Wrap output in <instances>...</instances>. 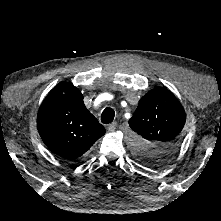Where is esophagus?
Returning a JSON list of instances; mask_svg holds the SVG:
<instances>
[{
    "label": "esophagus",
    "instance_id": "obj_1",
    "mask_svg": "<svg viewBox=\"0 0 221 221\" xmlns=\"http://www.w3.org/2000/svg\"><path fill=\"white\" fill-rule=\"evenodd\" d=\"M116 127H117V123L116 122H113L111 123L109 126H108V131L109 132H114L116 130Z\"/></svg>",
    "mask_w": 221,
    "mask_h": 221
}]
</instances>
